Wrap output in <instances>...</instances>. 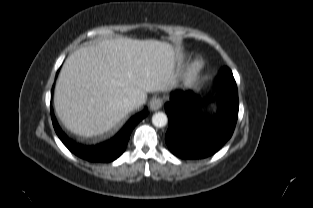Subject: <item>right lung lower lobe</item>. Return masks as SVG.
Here are the masks:
<instances>
[{
    "instance_id": "obj_1",
    "label": "right lung lower lobe",
    "mask_w": 313,
    "mask_h": 208,
    "mask_svg": "<svg viewBox=\"0 0 313 208\" xmlns=\"http://www.w3.org/2000/svg\"><path fill=\"white\" fill-rule=\"evenodd\" d=\"M51 113L53 114V110H51ZM146 114L147 112H145V110L136 114L116 136L104 143L92 146L80 145L69 139L60 129L54 115H52V123L58 137L72 153L92 162H110L118 158L124 152L131 131Z\"/></svg>"
}]
</instances>
